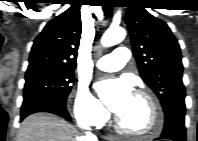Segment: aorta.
<instances>
[{
    "mask_svg": "<svg viewBox=\"0 0 198 141\" xmlns=\"http://www.w3.org/2000/svg\"><path fill=\"white\" fill-rule=\"evenodd\" d=\"M126 31L122 27L109 28L101 38V44L104 47H110L116 45L124 40Z\"/></svg>",
    "mask_w": 198,
    "mask_h": 141,
    "instance_id": "obj_1",
    "label": "aorta"
}]
</instances>
